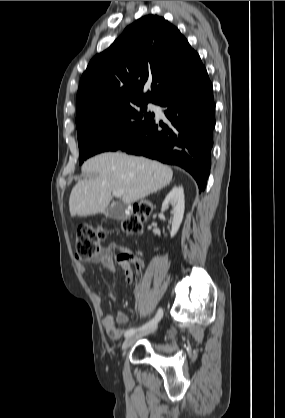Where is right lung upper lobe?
<instances>
[{"label": "right lung upper lobe", "mask_w": 285, "mask_h": 418, "mask_svg": "<svg viewBox=\"0 0 285 418\" xmlns=\"http://www.w3.org/2000/svg\"><path fill=\"white\" fill-rule=\"evenodd\" d=\"M205 70L180 31L157 15L129 25L83 73L77 93L76 125L112 107L133 102L157 104ZM151 83V91L143 87Z\"/></svg>", "instance_id": "right-lung-upper-lobe-1"}]
</instances>
